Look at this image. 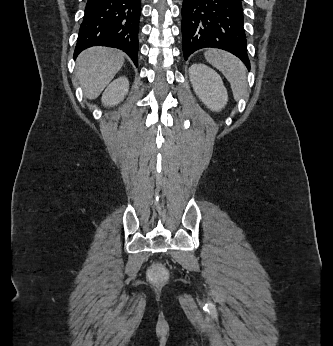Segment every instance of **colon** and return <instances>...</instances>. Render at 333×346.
Segmentation results:
<instances>
[{
    "instance_id": "obj_1",
    "label": "colon",
    "mask_w": 333,
    "mask_h": 346,
    "mask_svg": "<svg viewBox=\"0 0 333 346\" xmlns=\"http://www.w3.org/2000/svg\"><path fill=\"white\" fill-rule=\"evenodd\" d=\"M147 276L151 283H155L156 288H165L166 280H170V273L164 264H153L152 269H147Z\"/></svg>"
}]
</instances>
